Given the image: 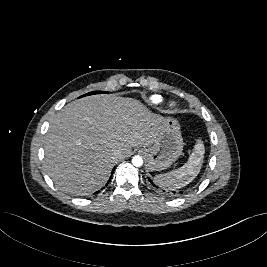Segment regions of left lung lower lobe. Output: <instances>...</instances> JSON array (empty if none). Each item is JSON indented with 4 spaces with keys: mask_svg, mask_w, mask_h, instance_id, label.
Listing matches in <instances>:
<instances>
[{
    "mask_svg": "<svg viewBox=\"0 0 267 267\" xmlns=\"http://www.w3.org/2000/svg\"><path fill=\"white\" fill-rule=\"evenodd\" d=\"M148 180H149V182H150L154 187H156V188L159 187V183H158L157 181H153L151 178H148ZM163 192L168 193V194H170V195H175V194H177L175 191L166 192V190H163ZM179 193L181 194L182 192H179Z\"/></svg>",
    "mask_w": 267,
    "mask_h": 267,
    "instance_id": "obj_1",
    "label": "left lung lower lobe"
}]
</instances>
